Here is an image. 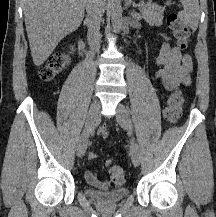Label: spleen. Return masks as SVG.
I'll use <instances>...</instances> for the list:
<instances>
[{
  "label": "spleen",
  "instance_id": "spleen-1",
  "mask_svg": "<svg viewBox=\"0 0 216 217\" xmlns=\"http://www.w3.org/2000/svg\"><path fill=\"white\" fill-rule=\"evenodd\" d=\"M184 10L178 13L179 18L193 31L198 27L200 8L198 0H180Z\"/></svg>",
  "mask_w": 216,
  "mask_h": 217
}]
</instances>
